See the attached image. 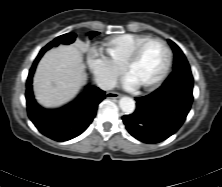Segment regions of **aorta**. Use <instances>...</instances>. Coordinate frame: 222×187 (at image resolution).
<instances>
[{
    "instance_id": "aorta-1",
    "label": "aorta",
    "mask_w": 222,
    "mask_h": 187,
    "mask_svg": "<svg viewBox=\"0 0 222 187\" xmlns=\"http://www.w3.org/2000/svg\"><path fill=\"white\" fill-rule=\"evenodd\" d=\"M119 106L124 113L131 114L135 110V101L125 96L119 100Z\"/></svg>"
}]
</instances>
